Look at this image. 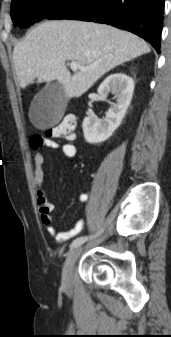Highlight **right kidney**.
Instances as JSON below:
<instances>
[{
	"label": "right kidney",
	"instance_id": "obj_1",
	"mask_svg": "<svg viewBox=\"0 0 171 337\" xmlns=\"http://www.w3.org/2000/svg\"><path fill=\"white\" fill-rule=\"evenodd\" d=\"M133 91L134 81L124 73H114L101 83L97 90L98 94L105 99L111 92L115 95L116 104L112 105L102 120H97L93 116L84 119L82 127L84 138L88 143H101L112 136L126 114Z\"/></svg>",
	"mask_w": 171,
	"mask_h": 337
}]
</instances>
